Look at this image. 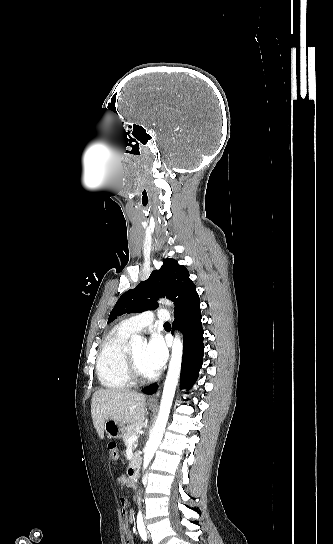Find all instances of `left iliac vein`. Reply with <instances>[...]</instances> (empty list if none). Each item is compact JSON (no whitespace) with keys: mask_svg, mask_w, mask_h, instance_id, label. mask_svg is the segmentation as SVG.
<instances>
[{"mask_svg":"<svg viewBox=\"0 0 333 544\" xmlns=\"http://www.w3.org/2000/svg\"><path fill=\"white\" fill-rule=\"evenodd\" d=\"M147 535H148V538H150V534L148 533V531H147Z\"/></svg>","mask_w":333,"mask_h":544,"instance_id":"1","label":"left iliac vein"}]
</instances>
